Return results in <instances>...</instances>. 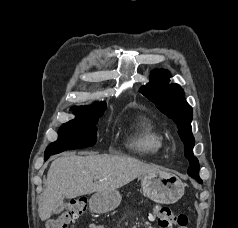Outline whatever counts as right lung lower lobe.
<instances>
[{"mask_svg": "<svg viewBox=\"0 0 238 228\" xmlns=\"http://www.w3.org/2000/svg\"><path fill=\"white\" fill-rule=\"evenodd\" d=\"M53 154H45V159H48Z\"/></svg>", "mask_w": 238, "mask_h": 228, "instance_id": "obj_1", "label": "right lung lower lobe"}]
</instances>
